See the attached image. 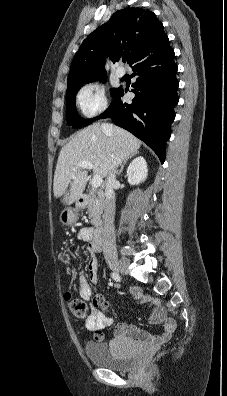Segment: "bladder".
Segmentation results:
<instances>
[{
  "label": "bladder",
  "mask_w": 227,
  "mask_h": 396,
  "mask_svg": "<svg viewBox=\"0 0 227 396\" xmlns=\"http://www.w3.org/2000/svg\"><path fill=\"white\" fill-rule=\"evenodd\" d=\"M85 354L89 361L102 368L116 372H127L137 364V356L119 344L87 342Z\"/></svg>",
  "instance_id": "bladder-1"
}]
</instances>
